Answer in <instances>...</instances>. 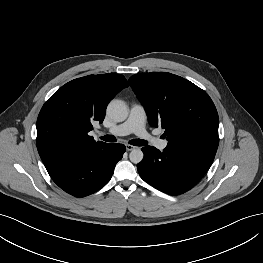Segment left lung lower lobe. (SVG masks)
I'll return each instance as SVG.
<instances>
[{
    "label": "left lung lower lobe",
    "instance_id": "1",
    "mask_svg": "<svg viewBox=\"0 0 263 263\" xmlns=\"http://www.w3.org/2000/svg\"><path fill=\"white\" fill-rule=\"evenodd\" d=\"M143 160L137 170L141 178L156 189L171 195L187 192L207 172L214 157L167 145L163 152L155 147L142 148Z\"/></svg>",
    "mask_w": 263,
    "mask_h": 263
}]
</instances>
